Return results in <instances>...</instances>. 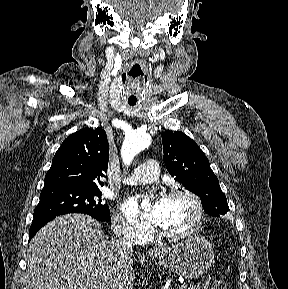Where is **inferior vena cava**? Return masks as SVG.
<instances>
[{"label": "inferior vena cava", "instance_id": "inferior-vena-cava-1", "mask_svg": "<svg viewBox=\"0 0 288 289\" xmlns=\"http://www.w3.org/2000/svg\"><path fill=\"white\" fill-rule=\"evenodd\" d=\"M132 242L133 240H132L130 232H126L124 236L121 233L117 234L114 240L116 252L121 256H125L126 254L132 252L133 250ZM105 288L111 289V286H108V287L104 286V289Z\"/></svg>", "mask_w": 288, "mask_h": 289}]
</instances>
